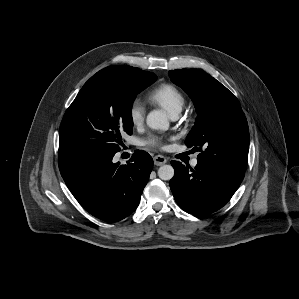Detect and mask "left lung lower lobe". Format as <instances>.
Masks as SVG:
<instances>
[{
    "mask_svg": "<svg viewBox=\"0 0 299 299\" xmlns=\"http://www.w3.org/2000/svg\"><path fill=\"white\" fill-rule=\"evenodd\" d=\"M175 170L170 188L177 204L193 215H207L222 208L240 186L245 173L197 162L189 171L178 161H171Z\"/></svg>",
    "mask_w": 299,
    "mask_h": 299,
    "instance_id": "obj_1",
    "label": "left lung lower lobe"
}]
</instances>
